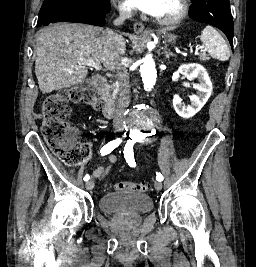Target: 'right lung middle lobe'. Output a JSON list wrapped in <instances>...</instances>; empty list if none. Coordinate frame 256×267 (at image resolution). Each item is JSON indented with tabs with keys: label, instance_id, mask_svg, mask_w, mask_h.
I'll return each mask as SVG.
<instances>
[{
	"label": "right lung middle lobe",
	"instance_id": "right-lung-middle-lobe-1",
	"mask_svg": "<svg viewBox=\"0 0 256 267\" xmlns=\"http://www.w3.org/2000/svg\"><path fill=\"white\" fill-rule=\"evenodd\" d=\"M110 4V0H44L38 19L53 11L80 14L89 7H100Z\"/></svg>",
	"mask_w": 256,
	"mask_h": 267
}]
</instances>
